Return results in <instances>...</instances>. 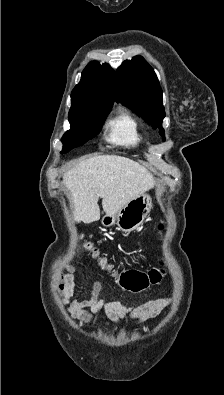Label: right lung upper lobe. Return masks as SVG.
<instances>
[{
    "label": "right lung upper lobe",
    "mask_w": 224,
    "mask_h": 395,
    "mask_svg": "<svg viewBox=\"0 0 224 395\" xmlns=\"http://www.w3.org/2000/svg\"><path fill=\"white\" fill-rule=\"evenodd\" d=\"M71 96L82 97L97 105L111 108L114 102V71L110 65L90 62Z\"/></svg>",
    "instance_id": "cb5924a9"
}]
</instances>
